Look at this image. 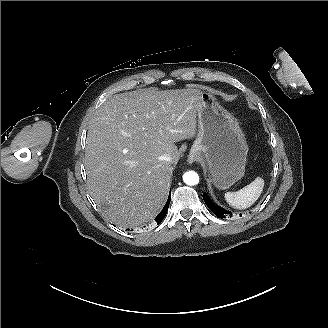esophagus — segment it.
<instances>
[{"instance_id":"esophagus-1","label":"esophagus","mask_w":328,"mask_h":328,"mask_svg":"<svg viewBox=\"0 0 328 328\" xmlns=\"http://www.w3.org/2000/svg\"><path fill=\"white\" fill-rule=\"evenodd\" d=\"M196 160V155L190 154L188 157V162L193 163Z\"/></svg>"}]
</instances>
